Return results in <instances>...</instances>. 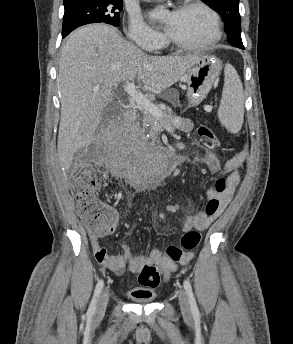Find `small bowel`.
Wrapping results in <instances>:
<instances>
[{"label": "small bowel", "instance_id": "obj_1", "mask_svg": "<svg viewBox=\"0 0 293 344\" xmlns=\"http://www.w3.org/2000/svg\"><path fill=\"white\" fill-rule=\"evenodd\" d=\"M179 129L184 132L191 131V121L187 118H181L179 121ZM245 158V154L240 153L226 161L224 164H221L215 153L209 149H202L201 151L195 152V159L200 164L204 165L210 173L215 174L223 172L227 174V190L223 194H218L214 189H208L205 192V197L208 200L213 198L218 199V211L214 215H208L205 211H198L194 215L188 216L183 222V230H205L225 211L240 184V175L238 171L243 166ZM115 228L116 224L114 230ZM90 243L97 262L117 276H122L125 273L126 268L133 273H138L143 269V267L151 264H162L167 276L171 271L177 268V264L168 263L162 260L161 251L157 248H153L147 256L134 255L130 246L124 242L120 245V254L109 255L106 249L100 244L98 237H91ZM192 259L193 253L188 252L178 262V264L181 266L188 265ZM150 294L151 292L146 288H135L131 290V295L134 298L148 296Z\"/></svg>", "mask_w": 293, "mask_h": 344}]
</instances>
